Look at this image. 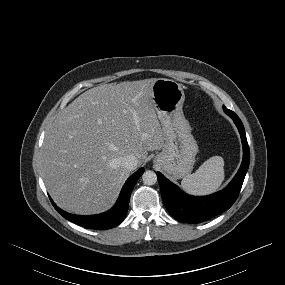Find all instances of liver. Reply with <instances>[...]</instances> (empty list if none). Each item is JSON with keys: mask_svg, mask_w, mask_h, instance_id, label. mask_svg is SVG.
Masks as SVG:
<instances>
[{"mask_svg": "<svg viewBox=\"0 0 285 285\" xmlns=\"http://www.w3.org/2000/svg\"><path fill=\"white\" fill-rule=\"evenodd\" d=\"M155 78L103 84L87 90L56 117L46 132L42 176L58 206L88 215L108 209L130 174L122 160L142 165L164 147L152 100Z\"/></svg>", "mask_w": 285, "mask_h": 285, "instance_id": "6515ba94", "label": "liver"}]
</instances>
